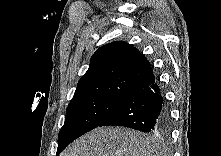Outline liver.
<instances>
[{"mask_svg": "<svg viewBox=\"0 0 221 156\" xmlns=\"http://www.w3.org/2000/svg\"><path fill=\"white\" fill-rule=\"evenodd\" d=\"M159 141L125 127H100L83 135L60 156H160Z\"/></svg>", "mask_w": 221, "mask_h": 156, "instance_id": "1", "label": "liver"}]
</instances>
